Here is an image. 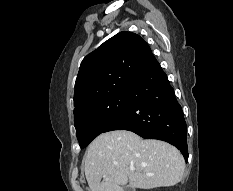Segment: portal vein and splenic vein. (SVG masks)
Masks as SVG:
<instances>
[{"mask_svg":"<svg viewBox=\"0 0 233 191\" xmlns=\"http://www.w3.org/2000/svg\"><path fill=\"white\" fill-rule=\"evenodd\" d=\"M130 170H131V171H134V170H135V167H134V166H130ZM147 175H150V174H147Z\"/></svg>","mask_w":233,"mask_h":191,"instance_id":"obj_1","label":"portal vein and splenic vein"}]
</instances>
